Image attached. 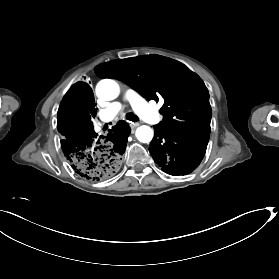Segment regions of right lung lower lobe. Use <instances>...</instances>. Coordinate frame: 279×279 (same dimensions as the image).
I'll list each match as a JSON object with an SVG mask.
<instances>
[{"instance_id":"1","label":"right lung lower lobe","mask_w":279,"mask_h":279,"mask_svg":"<svg viewBox=\"0 0 279 279\" xmlns=\"http://www.w3.org/2000/svg\"><path fill=\"white\" fill-rule=\"evenodd\" d=\"M96 112L92 89L78 82L65 94L57 113L64 155L77 174L93 181L109 179L119 170L130 131L121 120L107 136L99 137L91 121Z\"/></svg>"}]
</instances>
